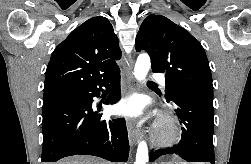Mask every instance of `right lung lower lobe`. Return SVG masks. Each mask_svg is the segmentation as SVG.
Returning <instances> with one entry per match:
<instances>
[{"mask_svg": "<svg viewBox=\"0 0 251 164\" xmlns=\"http://www.w3.org/2000/svg\"><path fill=\"white\" fill-rule=\"evenodd\" d=\"M120 71L101 82L67 88L43 100L42 162L76 154L93 155L112 162H126L129 144L124 119H102L92 110L93 97L111 82L116 86L105 104L120 98Z\"/></svg>", "mask_w": 251, "mask_h": 164, "instance_id": "1", "label": "right lung lower lobe"}]
</instances>
